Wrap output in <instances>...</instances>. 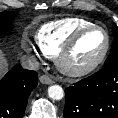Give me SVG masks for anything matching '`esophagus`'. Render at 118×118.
Here are the masks:
<instances>
[{"label": "esophagus", "instance_id": "esophagus-1", "mask_svg": "<svg viewBox=\"0 0 118 118\" xmlns=\"http://www.w3.org/2000/svg\"><path fill=\"white\" fill-rule=\"evenodd\" d=\"M40 82L43 83V84H52L53 83V80L50 76L44 74V75H41L40 78H39Z\"/></svg>", "mask_w": 118, "mask_h": 118}]
</instances>
